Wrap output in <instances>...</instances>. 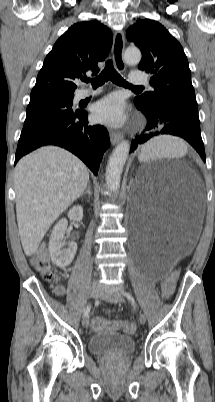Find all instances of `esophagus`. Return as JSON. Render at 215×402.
<instances>
[{
	"mask_svg": "<svg viewBox=\"0 0 215 402\" xmlns=\"http://www.w3.org/2000/svg\"><path fill=\"white\" fill-rule=\"evenodd\" d=\"M125 46V37L122 31H116L114 34L113 46H112V58L116 68L123 72L126 69V65L123 59V52ZM123 135L121 133L111 132L110 140L113 145L121 141Z\"/></svg>",
	"mask_w": 215,
	"mask_h": 402,
	"instance_id": "obj_1",
	"label": "esophagus"
}]
</instances>
